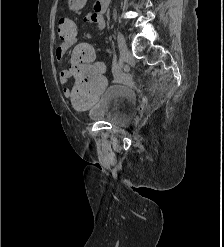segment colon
Instances as JSON below:
<instances>
[{"label": "colon", "instance_id": "colon-1", "mask_svg": "<svg viewBox=\"0 0 224 247\" xmlns=\"http://www.w3.org/2000/svg\"><path fill=\"white\" fill-rule=\"evenodd\" d=\"M57 33L62 40L76 38L78 33L76 22L69 18H60ZM94 58L95 50L89 44H81L74 51L70 75L77 84L70 91L69 99L75 107L91 106L106 87L104 77L92 64Z\"/></svg>", "mask_w": 224, "mask_h": 247}]
</instances>
